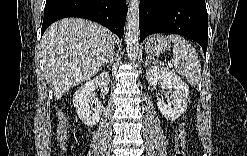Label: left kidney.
Wrapping results in <instances>:
<instances>
[{
	"label": "left kidney",
	"instance_id": "5707ae66",
	"mask_svg": "<svg viewBox=\"0 0 247 156\" xmlns=\"http://www.w3.org/2000/svg\"><path fill=\"white\" fill-rule=\"evenodd\" d=\"M146 79L150 84H162L168 90L166 102L162 95L158 97V109L167 120L178 119L187 109L188 85L174 71L159 66L149 67Z\"/></svg>",
	"mask_w": 247,
	"mask_h": 156
}]
</instances>
